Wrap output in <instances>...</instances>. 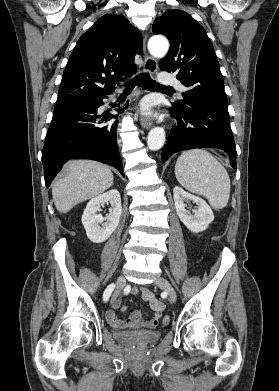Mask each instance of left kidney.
<instances>
[{"mask_svg": "<svg viewBox=\"0 0 279 391\" xmlns=\"http://www.w3.org/2000/svg\"><path fill=\"white\" fill-rule=\"evenodd\" d=\"M173 197L177 215L190 231L194 233L204 231L214 220L212 209L202 198L184 191L179 186L173 189ZM186 201H193L198 206V209L191 214L186 209Z\"/></svg>", "mask_w": 279, "mask_h": 391, "instance_id": "1", "label": "left kidney"}]
</instances>
